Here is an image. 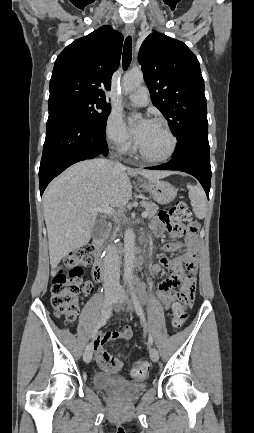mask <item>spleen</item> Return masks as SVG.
Returning a JSON list of instances; mask_svg holds the SVG:
<instances>
[{
    "label": "spleen",
    "mask_w": 254,
    "mask_h": 433,
    "mask_svg": "<svg viewBox=\"0 0 254 433\" xmlns=\"http://www.w3.org/2000/svg\"><path fill=\"white\" fill-rule=\"evenodd\" d=\"M192 209L198 219H203L207 212V200L203 189L199 186L187 184Z\"/></svg>",
    "instance_id": "1"
}]
</instances>
